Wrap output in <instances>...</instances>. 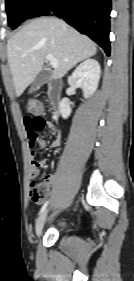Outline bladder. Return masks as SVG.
Wrapping results in <instances>:
<instances>
[{
	"label": "bladder",
	"mask_w": 134,
	"mask_h": 281,
	"mask_svg": "<svg viewBox=\"0 0 134 281\" xmlns=\"http://www.w3.org/2000/svg\"><path fill=\"white\" fill-rule=\"evenodd\" d=\"M69 221L67 219H59L57 222H56V227L59 231L61 232H66L69 228Z\"/></svg>",
	"instance_id": "31cf9c89"
}]
</instances>
